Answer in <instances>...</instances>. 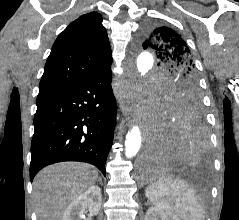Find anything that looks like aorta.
Returning a JSON list of instances; mask_svg holds the SVG:
<instances>
[{
  "mask_svg": "<svg viewBox=\"0 0 239 220\" xmlns=\"http://www.w3.org/2000/svg\"><path fill=\"white\" fill-rule=\"evenodd\" d=\"M136 70H132L136 75L141 77H153L149 76V71H154L152 51H141V54L135 57ZM125 71V70H124ZM141 131L140 128L135 125L128 132L125 140V157H134L141 148Z\"/></svg>",
  "mask_w": 239,
  "mask_h": 220,
  "instance_id": "obj_1",
  "label": "aorta"
}]
</instances>
